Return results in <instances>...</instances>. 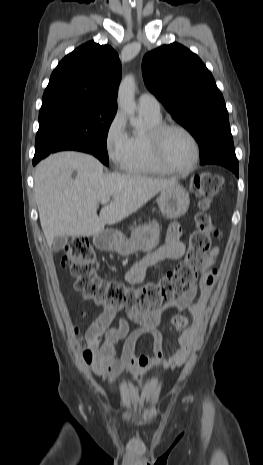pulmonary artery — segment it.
<instances>
[{
  "mask_svg": "<svg viewBox=\"0 0 263 465\" xmlns=\"http://www.w3.org/2000/svg\"><path fill=\"white\" fill-rule=\"evenodd\" d=\"M138 109L141 114L161 117V105L157 98L150 93H143L139 96Z\"/></svg>",
  "mask_w": 263,
  "mask_h": 465,
  "instance_id": "1",
  "label": "pulmonary artery"
}]
</instances>
